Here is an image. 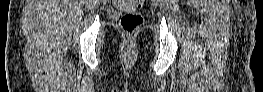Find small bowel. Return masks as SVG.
<instances>
[{
  "label": "small bowel",
  "instance_id": "obj_1",
  "mask_svg": "<svg viewBox=\"0 0 263 92\" xmlns=\"http://www.w3.org/2000/svg\"><path fill=\"white\" fill-rule=\"evenodd\" d=\"M130 3H132V4L136 5V6L142 5V3H139V2H137V1H131Z\"/></svg>",
  "mask_w": 263,
  "mask_h": 92
}]
</instances>
